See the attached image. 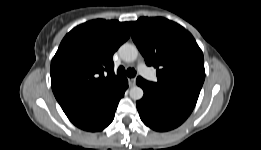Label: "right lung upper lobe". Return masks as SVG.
<instances>
[{
    "mask_svg": "<svg viewBox=\"0 0 261 150\" xmlns=\"http://www.w3.org/2000/svg\"><path fill=\"white\" fill-rule=\"evenodd\" d=\"M130 36L128 22L92 20L72 29L51 61V85L61 108L76 120L123 87L114 74V52Z\"/></svg>",
    "mask_w": 261,
    "mask_h": 150,
    "instance_id": "cb5924a9",
    "label": "right lung upper lobe"
}]
</instances>
